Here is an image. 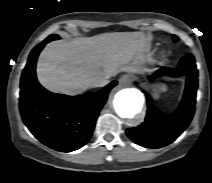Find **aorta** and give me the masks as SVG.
Returning <instances> with one entry per match:
<instances>
[{"label": "aorta", "mask_w": 212, "mask_h": 183, "mask_svg": "<svg viewBox=\"0 0 212 183\" xmlns=\"http://www.w3.org/2000/svg\"><path fill=\"white\" fill-rule=\"evenodd\" d=\"M144 104L143 94L135 88L122 89L113 100L114 109L121 118L132 119L141 112Z\"/></svg>", "instance_id": "obj_1"}]
</instances>
